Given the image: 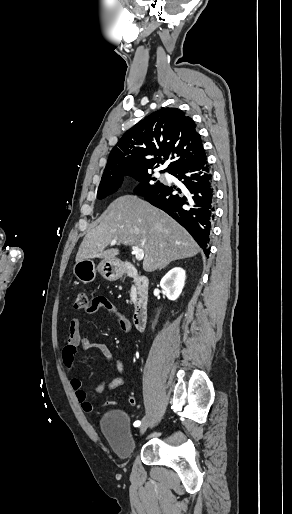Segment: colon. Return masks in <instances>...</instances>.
I'll return each instance as SVG.
<instances>
[{
	"mask_svg": "<svg viewBox=\"0 0 292 514\" xmlns=\"http://www.w3.org/2000/svg\"><path fill=\"white\" fill-rule=\"evenodd\" d=\"M91 308L89 303L88 293L85 291H81L76 296L74 309L76 311L89 310Z\"/></svg>",
	"mask_w": 292,
	"mask_h": 514,
	"instance_id": "5ec220e1",
	"label": "colon"
}]
</instances>
